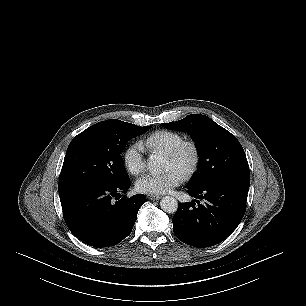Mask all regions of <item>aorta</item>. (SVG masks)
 <instances>
[{"label": "aorta", "mask_w": 306, "mask_h": 306, "mask_svg": "<svg viewBox=\"0 0 306 306\" xmlns=\"http://www.w3.org/2000/svg\"><path fill=\"white\" fill-rule=\"evenodd\" d=\"M165 160L161 155L152 154L147 160V168L154 173L160 172L164 166ZM160 207L167 213L177 211L178 202L172 196H165L160 201Z\"/></svg>", "instance_id": "aorta-1"}]
</instances>
